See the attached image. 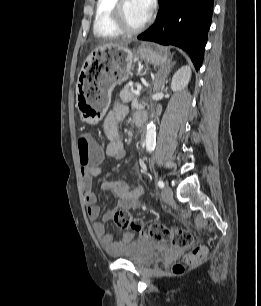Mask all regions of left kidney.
<instances>
[{
    "label": "left kidney",
    "instance_id": "5707ae66",
    "mask_svg": "<svg viewBox=\"0 0 261 306\" xmlns=\"http://www.w3.org/2000/svg\"><path fill=\"white\" fill-rule=\"evenodd\" d=\"M191 68L188 65L182 66L176 71L172 78L171 89L173 92L182 91L189 83L191 78Z\"/></svg>",
    "mask_w": 261,
    "mask_h": 306
}]
</instances>
